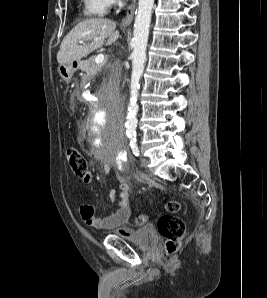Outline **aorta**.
<instances>
[{
	"instance_id": "762f6f07",
	"label": "aorta",
	"mask_w": 267,
	"mask_h": 298,
	"mask_svg": "<svg viewBox=\"0 0 267 298\" xmlns=\"http://www.w3.org/2000/svg\"><path fill=\"white\" fill-rule=\"evenodd\" d=\"M154 0H139L138 12L135 18L133 32L132 53V75L130 84V103L126 121L127 133L133 134L137 127L138 91L140 89V78L144 70L146 60V48L148 43L151 13Z\"/></svg>"
}]
</instances>
